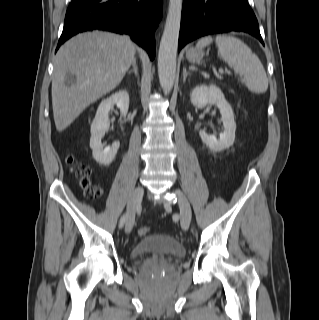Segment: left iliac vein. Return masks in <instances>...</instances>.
<instances>
[{
  "label": "left iliac vein",
  "mask_w": 319,
  "mask_h": 320,
  "mask_svg": "<svg viewBox=\"0 0 319 320\" xmlns=\"http://www.w3.org/2000/svg\"><path fill=\"white\" fill-rule=\"evenodd\" d=\"M177 196L180 208V223L183 230H187L190 226L192 210L187 197L179 190L174 191Z\"/></svg>",
  "instance_id": "left-iliac-vein-1"
}]
</instances>
